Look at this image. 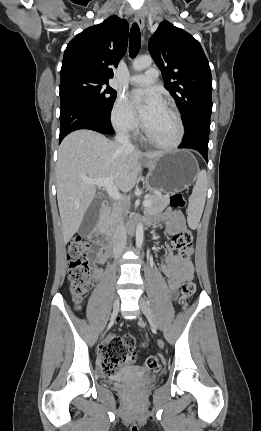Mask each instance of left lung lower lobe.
<instances>
[{"mask_svg":"<svg viewBox=\"0 0 261 431\" xmlns=\"http://www.w3.org/2000/svg\"><path fill=\"white\" fill-rule=\"evenodd\" d=\"M210 132V117L197 118L189 127L185 128V135L179 148H190L200 152L208 162V139Z\"/></svg>","mask_w":261,"mask_h":431,"instance_id":"0a47b994","label":"left lung lower lobe"}]
</instances>
